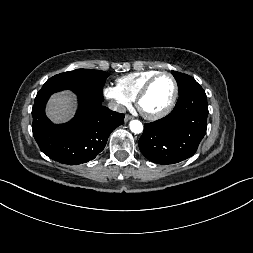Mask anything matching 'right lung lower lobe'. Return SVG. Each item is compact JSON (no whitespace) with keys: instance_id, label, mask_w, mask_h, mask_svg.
<instances>
[{"instance_id":"1","label":"right lung lower lobe","mask_w":253,"mask_h":253,"mask_svg":"<svg viewBox=\"0 0 253 253\" xmlns=\"http://www.w3.org/2000/svg\"><path fill=\"white\" fill-rule=\"evenodd\" d=\"M57 91L42 88L37 93L32 108L33 136L51 159L69 165L86 163L104 149L112 130L124 123V114L103 106L102 100L76 93L79 107L75 117L54 125L45 115V105Z\"/></svg>"}]
</instances>
